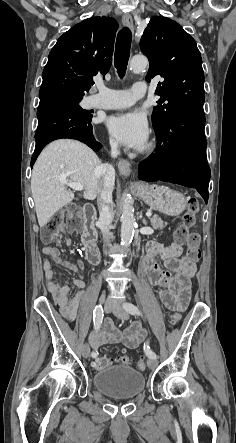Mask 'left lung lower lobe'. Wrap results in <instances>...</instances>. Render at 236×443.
<instances>
[{
  "label": "left lung lower lobe",
  "instance_id": "0a47b994",
  "mask_svg": "<svg viewBox=\"0 0 236 443\" xmlns=\"http://www.w3.org/2000/svg\"><path fill=\"white\" fill-rule=\"evenodd\" d=\"M202 107H184L167 117L162 128L154 129L158 146L139 165V179L165 181L195 188L208 201L210 168L207 164Z\"/></svg>",
  "mask_w": 236,
  "mask_h": 443
}]
</instances>
